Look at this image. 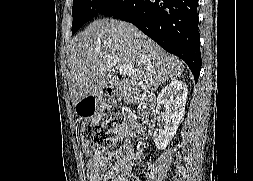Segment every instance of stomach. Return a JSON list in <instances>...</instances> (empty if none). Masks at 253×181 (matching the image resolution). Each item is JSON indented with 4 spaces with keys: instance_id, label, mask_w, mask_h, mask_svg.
I'll use <instances>...</instances> for the list:
<instances>
[{
    "instance_id": "0dacf381",
    "label": "stomach",
    "mask_w": 253,
    "mask_h": 181,
    "mask_svg": "<svg viewBox=\"0 0 253 181\" xmlns=\"http://www.w3.org/2000/svg\"><path fill=\"white\" fill-rule=\"evenodd\" d=\"M106 104V96L97 91L75 104V112L81 118H92L98 115Z\"/></svg>"
}]
</instances>
